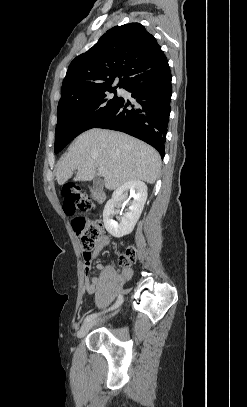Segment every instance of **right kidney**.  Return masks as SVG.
Here are the masks:
<instances>
[{
    "mask_svg": "<svg viewBox=\"0 0 247 407\" xmlns=\"http://www.w3.org/2000/svg\"><path fill=\"white\" fill-rule=\"evenodd\" d=\"M130 191L133 194V201L128 203L126 193ZM147 199V186L144 182L138 180L127 181L119 186L112 195V198L106 203L103 211V222L106 230L113 237L120 238L131 233L139 220ZM122 202L129 204L128 212L124 213L120 221L112 219L118 212L115 206Z\"/></svg>",
    "mask_w": 247,
    "mask_h": 407,
    "instance_id": "obj_1",
    "label": "right kidney"
}]
</instances>
